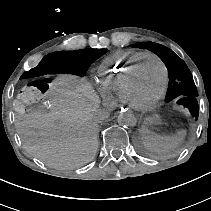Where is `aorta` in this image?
<instances>
[{
  "label": "aorta",
  "mask_w": 211,
  "mask_h": 211,
  "mask_svg": "<svg viewBox=\"0 0 211 211\" xmlns=\"http://www.w3.org/2000/svg\"><path fill=\"white\" fill-rule=\"evenodd\" d=\"M117 122L123 127H134L136 126L137 119L132 112L126 111L118 115Z\"/></svg>",
  "instance_id": "1"
}]
</instances>
